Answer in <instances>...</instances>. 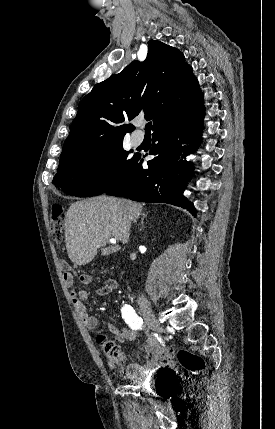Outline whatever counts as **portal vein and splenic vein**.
<instances>
[{
    "label": "portal vein and splenic vein",
    "instance_id": "portal-vein-and-splenic-vein-1",
    "mask_svg": "<svg viewBox=\"0 0 275 429\" xmlns=\"http://www.w3.org/2000/svg\"><path fill=\"white\" fill-rule=\"evenodd\" d=\"M112 240H114V241L119 240V237L118 236H114V238H112Z\"/></svg>",
    "mask_w": 275,
    "mask_h": 429
}]
</instances>
